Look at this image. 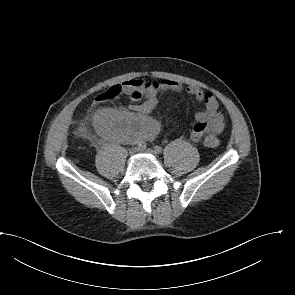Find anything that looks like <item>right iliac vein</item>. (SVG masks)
<instances>
[{"label": "right iliac vein", "mask_w": 295, "mask_h": 295, "mask_svg": "<svg viewBox=\"0 0 295 295\" xmlns=\"http://www.w3.org/2000/svg\"><path fill=\"white\" fill-rule=\"evenodd\" d=\"M137 151V149L135 147L130 149V154H134Z\"/></svg>", "instance_id": "1"}]
</instances>
